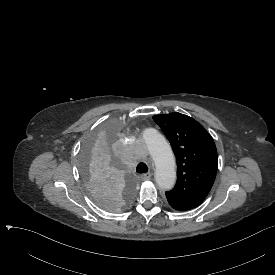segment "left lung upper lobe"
Wrapping results in <instances>:
<instances>
[{"label": "left lung upper lobe", "instance_id": "obj_1", "mask_svg": "<svg viewBox=\"0 0 275 275\" xmlns=\"http://www.w3.org/2000/svg\"><path fill=\"white\" fill-rule=\"evenodd\" d=\"M153 120L170 141L177 161V181L166 192L172 208L187 211L208 195L217 172V149L211 135L193 118L181 113L155 115Z\"/></svg>", "mask_w": 275, "mask_h": 275}]
</instances>
